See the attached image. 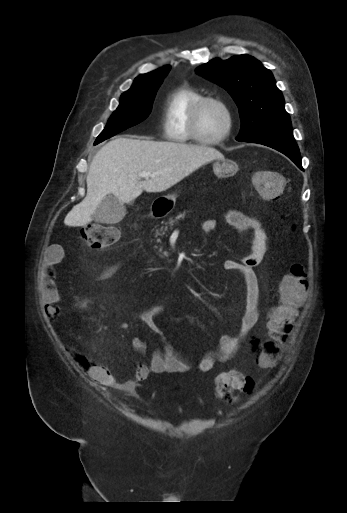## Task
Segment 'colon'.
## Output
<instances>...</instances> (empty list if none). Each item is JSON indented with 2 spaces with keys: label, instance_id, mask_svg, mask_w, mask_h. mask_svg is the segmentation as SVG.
<instances>
[{
  "label": "colon",
  "instance_id": "obj_1",
  "mask_svg": "<svg viewBox=\"0 0 347 513\" xmlns=\"http://www.w3.org/2000/svg\"><path fill=\"white\" fill-rule=\"evenodd\" d=\"M253 185L267 200L280 198L285 188V179L277 171H257L253 174ZM82 239L88 248L100 250L114 245L120 239V230L113 226L89 224L81 230ZM308 290L307 273L303 265L294 264L279 284V302L270 311L267 329L268 340H260L257 346V369L264 375L275 373L281 358L283 344L293 327L297 310ZM252 377L237 371L220 373L216 378L215 390L218 398L232 399L234 391L252 392Z\"/></svg>",
  "mask_w": 347,
  "mask_h": 513
}]
</instances>
